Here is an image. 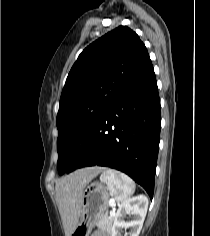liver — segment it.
<instances>
[{"instance_id": "liver-1", "label": "liver", "mask_w": 210, "mask_h": 236, "mask_svg": "<svg viewBox=\"0 0 210 236\" xmlns=\"http://www.w3.org/2000/svg\"><path fill=\"white\" fill-rule=\"evenodd\" d=\"M103 170V167L80 169L56 182L57 202L66 236H71L79 222L86 185Z\"/></svg>"}]
</instances>
